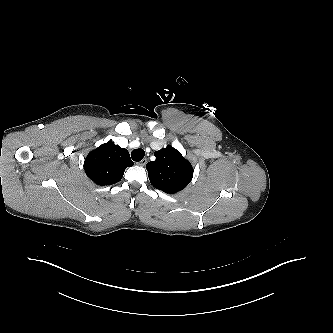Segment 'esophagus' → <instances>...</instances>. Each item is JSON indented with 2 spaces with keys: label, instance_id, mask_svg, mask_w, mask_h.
<instances>
[{
  "label": "esophagus",
  "instance_id": "obj_1",
  "mask_svg": "<svg viewBox=\"0 0 333 333\" xmlns=\"http://www.w3.org/2000/svg\"><path fill=\"white\" fill-rule=\"evenodd\" d=\"M147 158H143L140 162H138V165L145 166L147 164Z\"/></svg>",
  "mask_w": 333,
  "mask_h": 333
}]
</instances>
